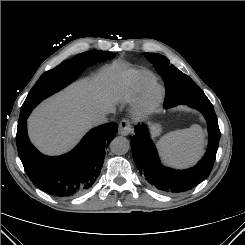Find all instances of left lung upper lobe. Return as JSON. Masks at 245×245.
I'll return each instance as SVG.
<instances>
[{"label": "left lung upper lobe", "instance_id": "left-lung-upper-lobe-1", "mask_svg": "<svg viewBox=\"0 0 245 245\" xmlns=\"http://www.w3.org/2000/svg\"><path fill=\"white\" fill-rule=\"evenodd\" d=\"M145 57L154 65L166 84V105L175 106L199 102L192 94L194 91L202 90L189 76L182 73L161 54L145 53Z\"/></svg>", "mask_w": 245, "mask_h": 245}]
</instances>
